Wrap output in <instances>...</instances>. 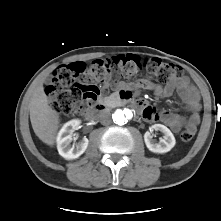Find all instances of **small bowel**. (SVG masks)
Returning a JSON list of instances; mask_svg holds the SVG:
<instances>
[{
    "label": "small bowel",
    "instance_id": "c3829d8e",
    "mask_svg": "<svg viewBox=\"0 0 221 221\" xmlns=\"http://www.w3.org/2000/svg\"><path fill=\"white\" fill-rule=\"evenodd\" d=\"M115 85L118 86L120 85V83L117 82L115 83ZM140 85L150 89L159 98H167L173 92V86L162 87L149 81H142L140 82ZM175 86L179 91L180 97L184 102L186 109L190 112V115L188 117L167 112L158 113L146 102H143L141 106L142 115L146 120L163 121L174 132H179L182 129H190L195 132L200 122V96L197 90L190 84L189 80L186 77L178 79Z\"/></svg>",
    "mask_w": 221,
    "mask_h": 221
}]
</instances>
